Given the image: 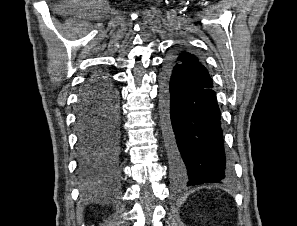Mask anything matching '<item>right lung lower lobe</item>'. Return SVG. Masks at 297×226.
I'll use <instances>...</instances> for the list:
<instances>
[{
  "label": "right lung lower lobe",
  "mask_w": 297,
  "mask_h": 226,
  "mask_svg": "<svg viewBox=\"0 0 297 226\" xmlns=\"http://www.w3.org/2000/svg\"><path fill=\"white\" fill-rule=\"evenodd\" d=\"M78 173L84 189L92 190L119 177V95L111 77L90 76L78 101Z\"/></svg>",
  "instance_id": "obj_1"
}]
</instances>
